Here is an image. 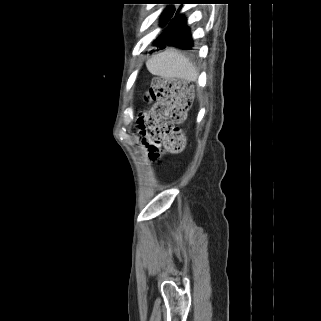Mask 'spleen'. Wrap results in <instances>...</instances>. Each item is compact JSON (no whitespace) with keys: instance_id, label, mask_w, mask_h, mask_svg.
Listing matches in <instances>:
<instances>
[{"instance_id":"1","label":"spleen","mask_w":321,"mask_h":321,"mask_svg":"<svg viewBox=\"0 0 321 321\" xmlns=\"http://www.w3.org/2000/svg\"><path fill=\"white\" fill-rule=\"evenodd\" d=\"M152 75L165 79L178 78L196 81L198 73L193 63L175 50H166L152 55L146 62Z\"/></svg>"}]
</instances>
